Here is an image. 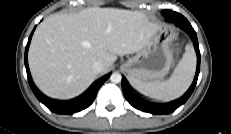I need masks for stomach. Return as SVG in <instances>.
I'll use <instances>...</instances> for the list:
<instances>
[{
    "mask_svg": "<svg viewBox=\"0 0 231 134\" xmlns=\"http://www.w3.org/2000/svg\"><path fill=\"white\" fill-rule=\"evenodd\" d=\"M176 33L173 28L160 26L137 54L122 64L130 79L155 82L168 74L173 62L171 43Z\"/></svg>",
    "mask_w": 231,
    "mask_h": 134,
    "instance_id": "1",
    "label": "stomach"
}]
</instances>
